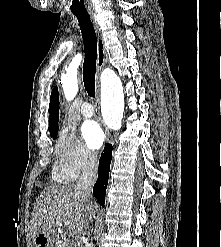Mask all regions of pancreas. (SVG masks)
I'll use <instances>...</instances> for the list:
<instances>
[{"label":"pancreas","instance_id":"cf45deb5","mask_svg":"<svg viewBox=\"0 0 221 247\" xmlns=\"http://www.w3.org/2000/svg\"><path fill=\"white\" fill-rule=\"evenodd\" d=\"M55 247H72L69 239L61 237L59 241H56Z\"/></svg>","mask_w":221,"mask_h":247}]
</instances>
